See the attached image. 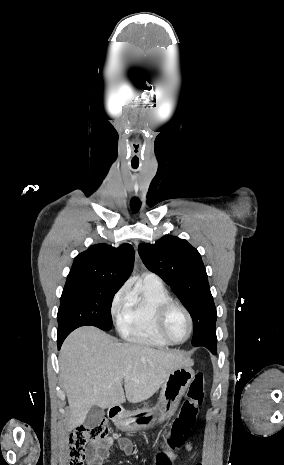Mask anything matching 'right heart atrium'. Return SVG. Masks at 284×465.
<instances>
[{"instance_id": "d8ad5b80", "label": "right heart atrium", "mask_w": 284, "mask_h": 465, "mask_svg": "<svg viewBox=\"0 0 284 465\" xmlns=\"http://www.w3.org/2000/svg\"><path fill=\"white\" fill-rule=\"evenodd\" d=\"M132 295V292L126 284L118 289L110 300L109 308L111 314L117 315L121 308L130 301Z\"/></svg>"}]
</instances>
